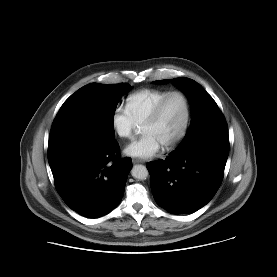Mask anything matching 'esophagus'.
<instances>
[{
    "label": "esophagus",
    "instance_id": "obj_1",
    "mask_svg": "<svg viewBox=\"0 0 277 277\" xmlns=\"http://www.w3.org/2000/svg\"><path fill=\"white\" fill-rule=\"evenodd\" d=\"M133 163L136 164V163H144V160L142 159H133Z\"/></svg>",
    "mask_w": 277,
    "mask_h": 277
}]
</instances>
